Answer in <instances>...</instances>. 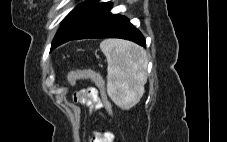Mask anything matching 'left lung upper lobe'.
I'll return each instance as SVG.
<instances>
[{
  "label": "left lung upper lobe",
  "instance_id": "left-lung-upper-lobe-1",
  "mask_svg": "<svg viewBox=\"0 0 227 142\" xmlns=\"http://www.w3.org/2000/svg\"><path fill=\"white\" fill-rule=\"evenodd\" d=\"M97 1L87 0L80 3L65 17L52 41L51 50L68 41L109 4V2L98 4Z\"/></svg>",
  "mask_w": 227,
  "mask_h": 142
}]
</instances>
